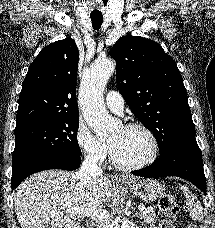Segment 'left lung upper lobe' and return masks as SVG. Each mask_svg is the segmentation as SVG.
<instances>
[{"instance_id":"5c2ea615","label":"left lung upper lobe","mask_w":215,"mask_h":228,"mask_svg":"<svg viewBox=\"0 0 215 228\" xmlns=\"http://www.w3.org/2000/svg\"><path fill=\"white\" fill-rule=\"evenodd\" d=\"M118 89L133 114L153 132L160 153L195 136L187 93L178 67L156 42L122 36L111 48Z\"/></svg>"}]
</instances>
